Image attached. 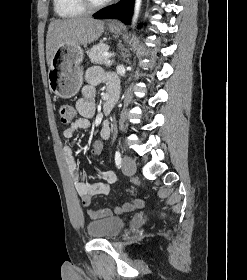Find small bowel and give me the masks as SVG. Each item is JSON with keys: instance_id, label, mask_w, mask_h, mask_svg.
<instances>
[{"instance_id": "obj_1", "label": "small bowel", "mask_w": 247, "mask_h": 280, "mask_svg": "<svg viewBox=\"0 0 247 280\" xmlns=\"http://www.w3.org/2000/svg\"><path fill=\"white\" fill-rule=\"evenodd\" d=\"M104 79L109 81V88L117 87V82L114 77L106 76L104 72L98 68H90L86 73L87 85L82 88L81 97L76 103V109L79 114V118L74 123L69 125L63 130V136L65 139H72L76 132L79 130L87 129L90 125V119L95 113V86ZM110 127L106 122L104 123L100 136L103 140H107L110 137ZM63 153L71 173L76 191L80 197L83 206H89L92 198L96 195H106L110 192V186L116 182V176L114 172L110 170L100 171L97 174L98 182H90L81 172L77 158L69 145L63 148ZM143 205V201L140 199H134L129 202L123 203L121 206L114 209L115 213L121 214L134 209L140 208ZM88 216L91 219H101L111 216L113 211L110 208L102 209H89Z\"/></svg>"}]
</instances>
